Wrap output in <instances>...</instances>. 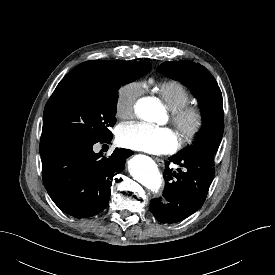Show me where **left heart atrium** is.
<instances>
[{
	"instance_id": "left-heart-atrium-1",
	"label": "left heart atrium",
	"mask_w": 275,
	"mask_h": 275,
	"mask_svg": "<svg viewBox=\"0 0 275 275\" xmlns=\"http://www.w3.org/2000/svg\"><path fill=\"white\" fill-rule=\"evenodd\" d=\"M117 141L125 148L153 154L170 153L178 146L177 136L171 129L145 122L120 125Z\"/></svg>"
}]
</instances>
